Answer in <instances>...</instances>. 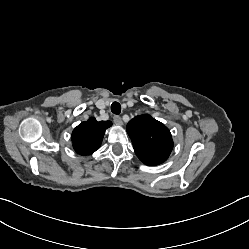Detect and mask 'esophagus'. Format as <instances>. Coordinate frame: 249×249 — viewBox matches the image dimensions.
I'll list each match as a JSON object with an SVG mask.
<instances>
[{
	"label": "esophagus",
	"instance_id": "1",
	"mask_svg": "<svg viewBox=\"0 0 249 249\" xmlns=\"http://www.w3.org/2000/svg\"><path fill=\"white\" fill-rule=\"evenodd\" d=\"M113 121H114L115 124H117V125H122V124H123L121 117L118 116V115H115V116L113 117Z\"/></svg>",
	"mask_w": 249,
	"mask_h": 249
}]
</instances>
